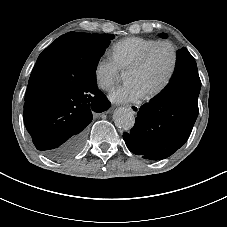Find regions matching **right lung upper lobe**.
<instances>
[{
  "mask_svg": "<svg viewBox=\"0 0 227 227\" xmlns=\"http://www.w3.org/2000/svg\"><path fill=\"white\" fill-rule=\"evenodd\" d=\"M44 86L45 84H43L40 79L36 78L35 76H30L28 87L26 90L25 100L39 93L44 88Z\"/></svg>",
  "mask_w": 227,
  "mask_h": 227,
  "instance_id": "obj_1",
  "label": "right lung upper lobe"
}]
</instances>
